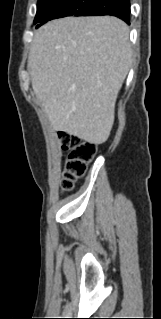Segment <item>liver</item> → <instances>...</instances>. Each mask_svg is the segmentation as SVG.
<instances>
[{
	"label": "liver",
	"mask_w": 161,
	"mask_h": 319,
	"mask_svg": "<svg viewBox=\"0 0 161 319\" xmlns=\"http://www.w3.org/2000/svg\"><path fill=\"white\" fill-rule=\"evenodd\" d=\"M132 63L129 28L111 16L67 17L35 31L32 88L55 130L104 143Z\"/></svg>",
	"instance_id": "liver-1"
}]
</instances>
